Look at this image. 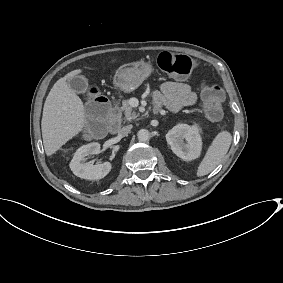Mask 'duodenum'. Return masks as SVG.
I'll return each mask as SVG.
<instances>
[{"mask_svg": "<svg viewBox=\"0 0 283 283\" xmlns=\"http://www.w3.org/2000/svg\"><path fill=\"white\" fill-rule=\"evenodd\" d=\"M105 107V106H104ZM121 129V116L118 110L114 109L108 123L110 133H117Z\"/></svg>", "mask_w": 283, "mask_h": 283, "instance_id": "1", "label": "duodenum"}]
</instances>
